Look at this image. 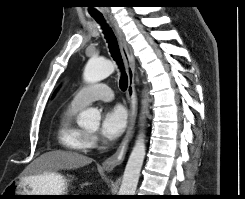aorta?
Here are the masks:
<instances>
[{
  "label": "aorta",
  "instance_id": "762f6f07",
  "mask_svg": "<svg viewBox=\"0 0 245 199\" xmlns=\"http://www.w3.org/2000/svg\"><path fill=\"white\" fill-rule=\"evenodd\" d=\"M116 68L115 63L109 60L91 58L84 69L83 78L87 83H96L111 75ZM146 107V99L143 100ZM145 113V110L142 112ZM101 115L95 108H88L80 113L78 124L82 127L97 128L100 124ZM146 154L145 135L141 132L135 141L129 156L122 178L119 195H135L140 177L141 168Z\"/></svg>",
  "mask_w": 245,
  "mask_h": 199
}]
</instances>
